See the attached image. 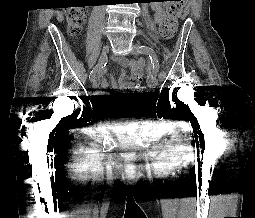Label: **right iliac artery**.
Masks as SVG:
<instances>
[{
  "instance_id": "82829eb1",
  "label": "right iliac artery",
  "mask_w": 255,
  "mask_h": 218,
  "mask_svg": "<svg viewBox=\"0 0 255 218\" xmlns=\"http://www.w3.org/2000/svg\"><path fill=\"white\" fill-rule=\"evenodd\" d=\"M104 65H105V62H103V63H101V64H98V65L90 72L89 78L92 79V78L95 76L96 72H97V71H100L101 68H103Z\"/></svg>"
}]
</instances>
